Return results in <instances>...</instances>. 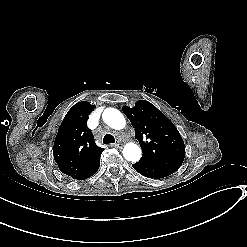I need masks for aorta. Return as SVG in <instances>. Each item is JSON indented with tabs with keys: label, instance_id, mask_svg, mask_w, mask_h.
<instances>
[{
	"label": "aorta",
	"instance_id": "762f6f07",
	"mask_svg": "<svg viewBox=\"0 0 247 247\" xmlns=\"http://www.w3.org/2000/svg\"><path fill=\"white\" fill-rule=\"evenodd\" d=\"M103 120L109 127L115 130H121L126 125V121L123 114L114 108H107L104 111ZM141 154L142 152L140 147L133 142L127 143L123 148V156L128 161H139L141 158Z\"/></svg>",
	"mask_w": 247,
	"mask_h": 247
}]
</instances>
